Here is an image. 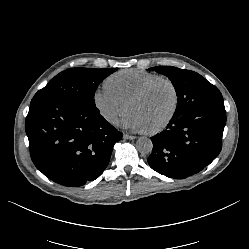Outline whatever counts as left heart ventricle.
<instances>
[{"label": "left heart ventricle", "instance_id": "1", "mask_svg": "<svg viewBox=\"0 0 249 249\" xmlns=\"http://www.w3.org/2000/svg\"><path fill=\"white\" fill-rule=\"evenodd\" d=\"M174 95L171 87L161 83L151 89L145 96L133 101L129 110L136 111L147 129L157 127L171 112Z\"/></svg>", "mask_w": 249, "mask_h": 249}]
</instances>
